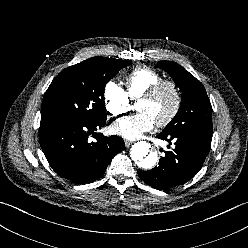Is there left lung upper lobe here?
Here are the masks:
<instances>
[{
	"mask_svg": "<svg viewBox=\"0 0 248 248\" xmlns=\"http://www.w3.org/2000/svg\"><path fill=\"white\" fill-rule=\"evenodd\" d=\"M155 67L165 70L183 92L176 116L163 131L212 135V106L202 83L175 62L159 61Z\"/></svg>",
	"mask_w": 248,
	"mask_h": 248,
	"instance_id": "5c2ea615",
	"label": "left lung upper lobe"
}]
</instances>
